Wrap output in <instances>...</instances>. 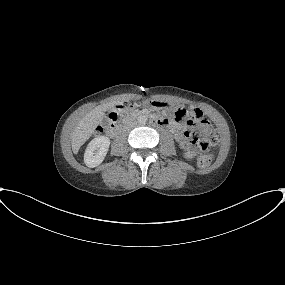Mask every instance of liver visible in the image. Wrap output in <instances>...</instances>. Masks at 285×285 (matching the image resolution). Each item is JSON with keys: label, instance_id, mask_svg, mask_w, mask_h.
Instances as JSON below:
<instances>
[{"label": "liver", "instance_id": "1", "mask_svg": "<svg viewBox=\"0 0 285 285\" xmlns=\"http://www.w3.org/2000/svg\"><path fill=\"white\" fill-rule=\"evenodd\" d=\"M115 105L114 102L95 107L78 123L71 136L72 150L78 153L80 147L92 136L96 127L102 122L105 112Z\"/></svg>", "mask_w": 285, "mask_h": 285}]
</instances>
